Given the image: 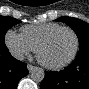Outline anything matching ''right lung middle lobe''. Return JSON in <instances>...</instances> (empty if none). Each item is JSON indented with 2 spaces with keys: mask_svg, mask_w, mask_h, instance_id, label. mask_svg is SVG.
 <instances>
[{
  "mask_svg": "<svg viewBox=\"0 0 89 89\" xmlns=\"http://www.w3.org/2000/svg\"><path fill=\"white\" fill-rule=\"evenodd\" d=\"M20 23L19 20L9 17L0 16V47L5 46L4 37L6 32L14 25Z\"/></svg>",
  "mask_w": 89,
  "mask_h": 89,
  "instance_id": "dd1d6c3e",
  "label": "right lung middle lobe"
}]
</instances>
